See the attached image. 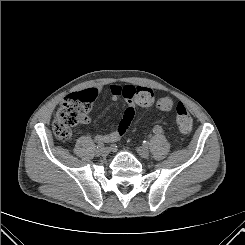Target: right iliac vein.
Wrapping results in <instances>:
<instances>
[{"label":"right iliac vein","instance_id":"63e3f726","mask_svg":"<svg viewBox=\"0 0 245 245\" xmlns=\"http://www.w3.org/2000/svg\"><path fill=\"white\" fill-rule=\"evenodd\" d=\"M109 154V149H108V152L107 153H104L103 151H102V149L99 151V153H98V155H101V156H103V157H106L107 155Z\"/></svg>","mask_w":245,"mask_h":245}]
</instances>
